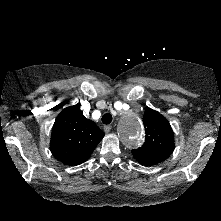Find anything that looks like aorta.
Segmentation results:
<instances>
[{"mask_svg":"<svg viewBox=\"0 0 221 221\" xmlns=\"http://www.w3.org/2000/svg\"><path fill=\"white\" fill-rule=\"evenodd\" d=\"M119 137L129 148H136L143 142L144 128L141 120L136 116L125 118L119 127Z\"/></svg>","mask_w":221,"mask_h":221,"instance_id":"aorta-1","label":"aorta"}]
</instances>
